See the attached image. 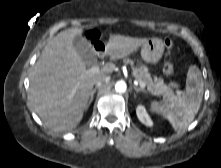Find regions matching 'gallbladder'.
Here are the masks:
<instances>
[{
    "mask_svg": "<svg viewBox=\"0 0 221 168\" xmlns=\"http://www.w3.org/2000/svg\"><path fill=\"white\" fill-rule=\"evenodd\" d=\"M73 45L78 55L86 64L96 63V53L86 40H84L83 38H75L73 40Z\"/></svg>",
    "mask_w": 221,
    "mask_h": 168,
    "instance_id": "1",
    "label": "gallbladder"
}]
</instances>
